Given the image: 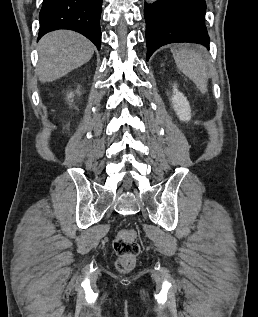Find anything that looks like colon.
<instances>
[{
  "mask_svg": "<svg viewBox=\"0 0 258 317\" xmlns=\"http://www.w3.org/2000/svg\"><path fill=\"white\" fill-rule=\"evenodd\" d=\"M113 248L118 257V269L128 270L132 268L140 253L136 231L133 229L121 230L113 242Z\"/></svg>",
  "mask_w": 258,
  "mask_h": 317,
  "instance_id": "5ec220e1",
  "label": "colon"
}]
</instances>
